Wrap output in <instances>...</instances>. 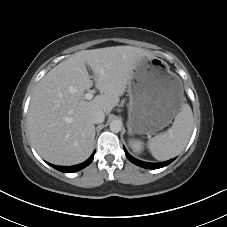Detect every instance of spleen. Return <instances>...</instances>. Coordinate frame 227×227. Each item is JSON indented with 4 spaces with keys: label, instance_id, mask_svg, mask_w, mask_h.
I'll list each match as a JSON object with an SVG mask.
<instances>
[{
    "label": "spleen",
    "instance_id": "obj_1",
    "mask_svg": "<svg viewBox=\"0 0 227 227\" xmlns=\"http://www.w3.org/2000/svg\"><path fill=\"white\" fill-rule=\"evenodd\" d=\"M192 130V110L189 104L183 103L180 112L175 116L172 127L167 132L151 138L148 141V148L157 160L171 159L185 149Z\"/></svg>",
    "mask_w": 227,
    "mask_h": 227
}]
</instances>
